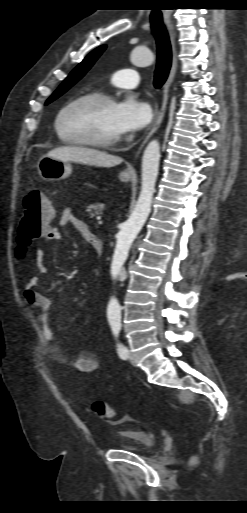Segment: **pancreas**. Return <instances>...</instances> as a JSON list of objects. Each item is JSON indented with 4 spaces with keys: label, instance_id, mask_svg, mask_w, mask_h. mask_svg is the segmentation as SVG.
I'll return each mask as SVG.
<instances>
[{
    "label": "pancreas",
    "instance_id": "cf45deb5",
    "mask_svg": "<svg viewBox=\"0 0 247 513\" xmlns=\"http://www.w3.org/2000/svg\"><path fill=\"white\" fill-rule=\"evenodd\" d=\"M104 205L101 203L90 204L87 207V211L90 212V217L93 218L102 213Z\"/></svg>",
    "mask_w": 247,
    "mask_h": 513
}]
</instances>
